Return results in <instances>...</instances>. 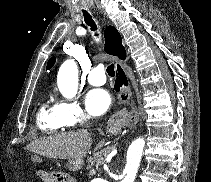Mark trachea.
<instances>
[{
    "mask_svg": "<svg viewBox=\"0 0 211 182\" xmlns=\"http://www.w3.org/2000/svg\"><path fill=\"white\" fill-rule=\"evenodd\" d=\"M83 14H84L86 24L91 27L92 31H96L97 26H96L95 22L93 21L92 17L86 11H83ZM106 71L109 76L114 77L115 76L114 64L109 65L107 67Z\"/></svg>",
    "mask_w": 211,
    "mask_h": 182,
    "instance_id": "1",
    "label": "trachea"
}]
</instances>
